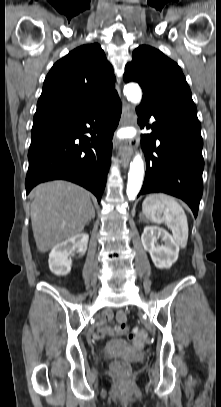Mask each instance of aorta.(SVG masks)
Masks as SVG:
<instances>
[{
  "instance_id": "762f6f07",
  "label": "aorta",
  "mask_w": 221,
  "mask_h": 407,
  "mask_svg": "<svg viewBox=\"0 0 221 407\" xmlns=\"http://www.w3.org/2000/svg\"><path fill=\"white\" fill-rule=\"evenodd\" d=\"M124 94L127 99L134 104H138L142 98V91L139 85L129 83L124 87ZM144 176V163L140 154H137L133 161L130 163V170L128 173V183L126 193L129 200H134L139 193Z\"/></svg>"
}]
</instances>
